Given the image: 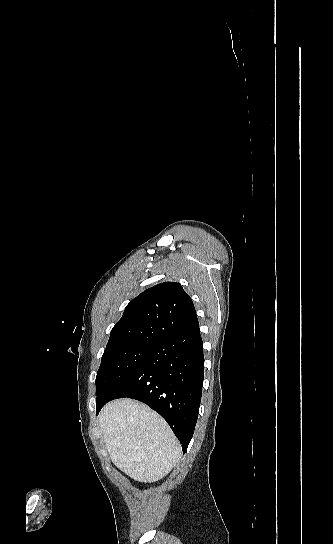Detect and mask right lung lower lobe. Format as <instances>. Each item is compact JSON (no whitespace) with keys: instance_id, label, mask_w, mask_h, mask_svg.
Listing matches in <instances>:
<instances>
[{"instance_id":"98d812e1","label":"right lung lower lobe","mask_w":333,"mask_h":544,"mask_svg":"<svg viewBox=\"0 0 333 544\" xmlns=\"http://www.w3.org/2000/svg\"><path fill=\"white\" fill-rule=\"evenodd\" d=\"M203 379L198 324L152 344L146 361L109 401L128 397L146 403L167 421L185 453L198 418ZM104 405L96 408L97 415Z\"/></svg>"}]
</instances>
